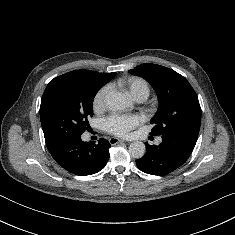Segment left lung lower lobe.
<instances>
[{
    "mask_svg": "<svg viewBox=\"0 0 235 235\" xmlns=\"http://www.w3.org/2000/svg\"><path fill=\"white\" fill-rule=\"evenodd\" d=\"M197 138V135L189 133L162 135V143L158 146L146 143L147 153L136 161V165L148 174H168L185 163L195 147Z\"/></svg>",
    "mask_w": 235,
    "mask_h": 235,
    "instance_id": "obj_1",
    "label": "left lung lower lobe"
}]
</instances>
